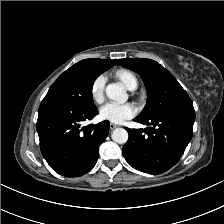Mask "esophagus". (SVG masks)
<instances>
[{
  "instance_id": "obj_1",
  "label": "esophagus",
  "mask_w": 224,
  "mask_h": 224,
  "mask_svg": "<svg viewBox=\"0 0 224 224\" xmlns=\"http://www.w3.org/2000/svg\"><path fill=\"white\" fill-rule=\"evenodd\" d=\"M109 127H110V130H114L115 128L118 127V125H116L114 123H110Z\"/></svg>"
}]
</instances>
